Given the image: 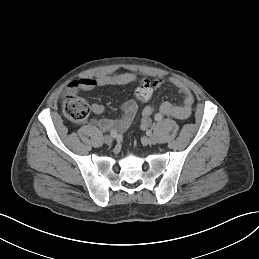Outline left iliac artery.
I'll list each match as a JSON object with an SVG mask.
<instances>
[{"instance_id": "44dca946", "label": "left iliac artery", "mask_w": 259, "mask_h": 259, "mask_svg": "<svg viewBox=\"0 0 259 259\" xmlns=\"http://www.w3.org/2000/svg\"><path fill=\"white\" fill-rule=\"evenodd\" d=\"M155 121H161L163 119V115L161 113H157L154 116Z\"/></svg>"}]
</instances>
